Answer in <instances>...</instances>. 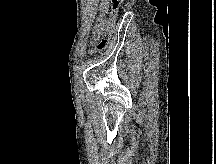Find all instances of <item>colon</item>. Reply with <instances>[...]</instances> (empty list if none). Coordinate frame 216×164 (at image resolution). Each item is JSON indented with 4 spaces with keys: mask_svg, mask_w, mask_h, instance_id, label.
<instances>
[{
    "mask_svg": "<svg viewBox=\"0 0 216 164\" xmlns=\"http://www.w3.org/2000/svg\"><path fill=\"white\" fill-rule=\"evenodd\" d=\"M124 0H110V13L108 19L96 26L93 35V51L101 53L106 48L115 28L120 6Z\"/></svg>",
    "mask_w": 216,
    "mask_h": 164,
    "instance_id": "5ec220e1",
    "label": "colon"
}]
</instances>
